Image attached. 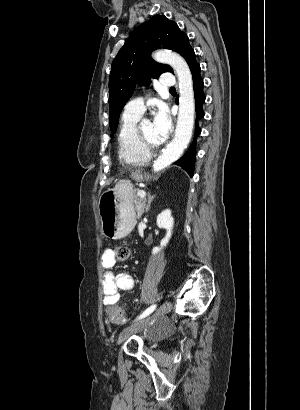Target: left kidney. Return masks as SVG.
Wrapping results in <instances>:
<instances>
[{
	"label": "left kidney",
	"mask_w": 300,
	"mask_h": 410,
	"mask_svg": "<svg viewBox=\"0 0 300 410\" xmlns=\"http://www.w3.org/2000/svg\"><path fill=\"white\" fill-rule=\"evenodd\" d=\"M174 225V219L171 215V210L166 209L162 211L158 216H157V226L159 228L166 229V235L165 237L161 240L160 242V247H154L152 250V254H157L160 252V250L166 246L172 236V229Z\"/></svg>",
	"instance_id": "left-kidney-1"
}]
</instances>
